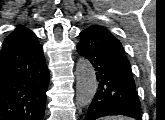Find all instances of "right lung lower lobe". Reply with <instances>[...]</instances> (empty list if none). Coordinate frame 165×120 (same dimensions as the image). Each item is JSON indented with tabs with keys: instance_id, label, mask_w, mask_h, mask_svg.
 Masks as SVG:
<instances>
[{
	"instance_id": "right-lung-lower-lobe-1",
	"label": "right lung lower lobe",
	"mask_w": 165,
	"mask_h": 120,
	"mask_svg": "<svg viewBox=\"0 0 165 120\" xmlns=\"http://www.w3.org/2000/svg\"><path fill=\"white\" fill-rule=\"evenodd\" d=\"M49 71L43 48L30 32L0 52V120H43Z\"/></svg>"
}]
</instances>
